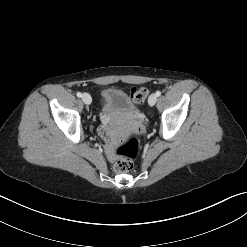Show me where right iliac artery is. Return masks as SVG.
<instances>
[{"instance_id":"82829eb1","label":"right iliac artery","mask_w":247,"mask_h":247,"mask_svg":"<svg viewBox=\"0 0 247 247\" xmlns=\"http://www.w3.org/2000/svg\"><path fill=\"white\" fill-rule=\"evenodd\" d=\"M77 97H82V93L81 92H77Z\"/></svg>"}]
</instances>
